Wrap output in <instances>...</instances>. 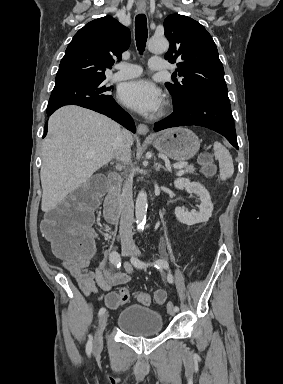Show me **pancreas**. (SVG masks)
<instances>
[{"label":"pancreas","instance_id":"obj_1","mask_svg":"<svg viewBox=\"0 0 283 384\" xmlns=\"http://www.w3.org/2000/svg\"><path fill=\"white\" fill-rule=\"evenodd\" d=\"M184 172H187V174H194L195 168L194 166H186Z\"/></svg>","mask_w":283,"mask_h":384}]
</instances>
